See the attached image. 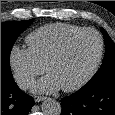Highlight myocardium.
Returning a JSON list of instances; mask_svg holds the SVG:
<instances>
[{
  "label": "myocardium",
  "instance_id": "myocardium-1",
  "mask_svg": "<svg viewBox=\"0 0 115 115\" xmlns=\"http://www.w3.org/2000/svg\"><path fill=\"white\" fill-rule=\"evenodd\" d=\"M87 33H92L94 35H96V37L98 38L99 41V51H98V55L96 58V61L93 65V67L91 68V70L78 82H76L73 85L70 86H66V87H61L63 91L65 92H74L77 91L79 89H81L82 87H84L98 72L100 65L102 63V59L104 56V40L102 35L95 29L93 28H84L72 35H70L68 38H66L62 44L57 48V50L48 58V60L45 63V71L48 73L49 68L56 63L57 61H59L67 52V50L69 49V47L71 46V44L80 36L87 34Z\"/></svg>",
  "mask_w": 115,
  "mask_h": 115
}]
</instances>
